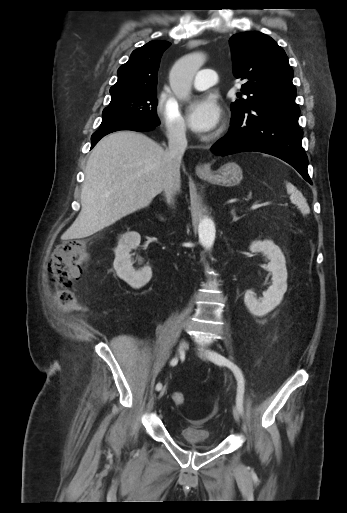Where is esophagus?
Here are the masks:
<instances>
[{"label": "esophagus", "mask_w": 347, "mask_h": 513, "mask_svg": "<svg viewBox=\"0 0 347 513\" xmlns=\"http://www.w3.org/2000/svg\"><path fill=\"white\" fill-rule=\"evenodd\" d=\"M210 172V169L209 167H207L205 164H198L195 168V173L198 175V176H204V175H207L209 174Z\"/></svg>", "instance_id": "obj_1"}]
</instances>
